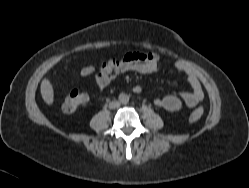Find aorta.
I'll return each mask as SVG.
<instances>
[{
    "mask_svg": "<svg viewBox=\"0 0 249 188\" xmlns=\"http://www.w3.org/2000/svg\"><path fill=\"white\" fill-rule=\"evenodd\" d=\"M119 102L122 104H127L129 102V96L125 93L119 95Z\"/></svg>",
    "mask_w": 249,
    "mask_h": 188,
    "instance_id": "aorta-1",
    "label": "aorta"
}]
</instances>
